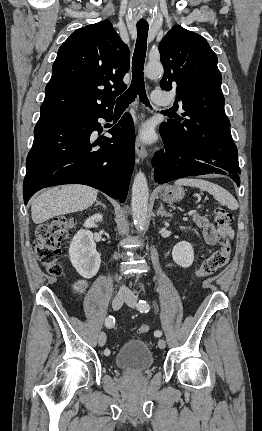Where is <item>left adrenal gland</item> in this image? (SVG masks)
Wrapping results in <instances>:
<instances>
[{"label": "left adrenal gland", "mask_w": 262, "mask_h": 431, "mask_svg": "<svg viewBox=\"0 0 262 431\" xmlns=\"http://www.w3.org/2000/svg\"><path fill=\"white\" fill-rule=\"evenodd\" d=\"M157 216H166V217H171L172 216V214H170V213H167L166 211H165V209H164V207H163V203L162 202H160V207H159V209H158V211H157Z\"/></svg>", "instance_id": "a2214340"}]
</instances>
